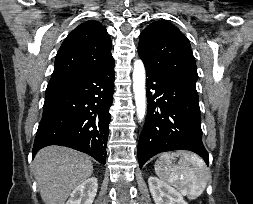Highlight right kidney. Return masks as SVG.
<instances>
[{
  "label": "right kidney",
  "mask_w": 253,
  "mask_h": 204,
  "mask_svg": "<svg viewBox=\"0 0 253 204\" xmlns=\"http://www.w3.org/2000/svg\"><path fill=\"white\" fill-rule=\"evenodd\" d=\"M98 189V180L91 177L78 185L66 204H92Z\"/></svg>",
  "instance_id": "right-kidney-1"
}]
</instances>
